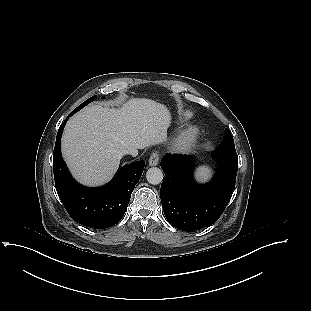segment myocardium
I'll use <instances>...</instances> for the list:
<instances>
[{"label":"myocardium","mask_w":311,"mask_h":311,"mask_svg":"<svg viewBox=\"0 0 311 311\" xmlns=\"http://www.w3.org/2000/svg\"><path fill=\"white\" fill-rule=\"evenodd\" d=\"M199 130L197 127H189L182 130L174 139L172 149L176 153L189 151L195 144Z\"/></svg>","instance_id":"1"}]
</instances>
